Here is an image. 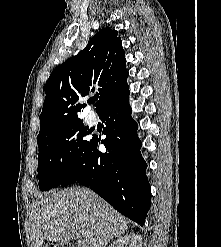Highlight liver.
Instances as JSON below:
<instances>
[{
	"label": "liver",
	"mask_w": 221,
	"mask_h": 247,
	"mask_svg": "<svg viewBox=\"0 0 221 247\" xmlns=\"http://www.w3.org/2000/svg\"><path fill=\"white\" fill-rule=\"evenodd\" d=\"M32 247L44 241L69 243L76 247H106L127 230V220L100 196L86 188H69L41 196L30 217Z\"/></svg>",
	"instance_id": "liver-1"
}]
</instances>
